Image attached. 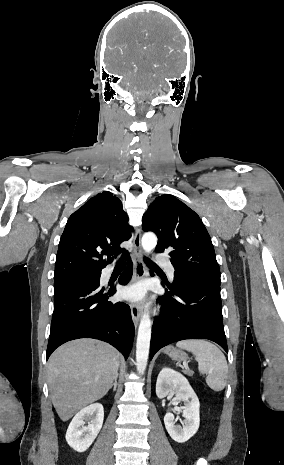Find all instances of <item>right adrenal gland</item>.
Masks as SVG:
<instances>
[{"mask_svg":"<svg viewBox=\"0 0 284 465\" xmlns=\"http://www.w3.org/2000/svg\"><path fill=\"white\" fill-rule=\"evenodd\" d=\"M118 377H119V373H117V375H116V377L114 379V383H112V385L110 387V389H112V387H113V391H116V389H117V379H118Z\"/></svg>","mask_w":284,"mask_h":465,"instance_id":"2a0ac1e0","label":"right adrenal gland"}]
</instances>
